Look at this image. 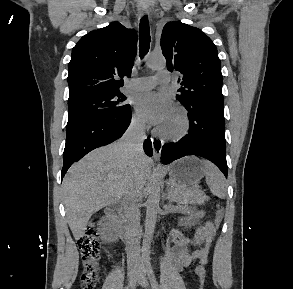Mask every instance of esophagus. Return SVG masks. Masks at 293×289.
I'll use <instances>...</instances> for the list:
<instances>
[{"instance_id": "esophagus-1", "label": "esophagus", "mask_w": 293, "mask_h": 289, "mask_svg": "<svg viewBox=\"0 0 293 289\" xmlns=\"http://www.w3.org/2000/svg\"><path fill=\"white\" fill-rule=\"evenodd\" d=\"M148 13L147 8L141 7L139 9L140 16H144ZM152 146H153V156L155 160H160L161 150L163 143L160 140L152 139Z\"/></svg>"}]
</instances>
